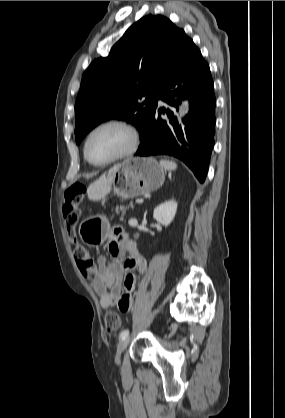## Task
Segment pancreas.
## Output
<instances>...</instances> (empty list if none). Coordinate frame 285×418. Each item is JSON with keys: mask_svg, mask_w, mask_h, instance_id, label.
I'll list each match as a JSON object with an SVG mask.
<instances>
[{"mask_svg": "<svg viewBox=\"0 0 285 418\" xmlns=\"http://www.w3.org/2000/svg\"><path fill=\"white\" fill-rule=\"evenodd\" d=\"M123 209H124V208H123L122 206H120V207H117V208H116V211H118V210H121V211H122Z\"/></svg>", "mask_w": 285, "mask_h": 418, "instance_id": "pancreas-1", "label": "pancreas"}]
</instances>
